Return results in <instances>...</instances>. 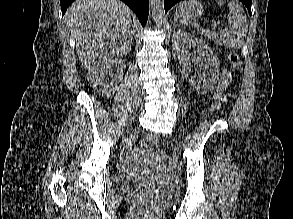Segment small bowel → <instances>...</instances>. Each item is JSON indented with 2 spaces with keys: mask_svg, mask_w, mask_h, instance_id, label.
Wrapping results in <instances>:
<instances>
[{
  "mask_svg": "<svg viewBox=\"0 0 293 219\" xmlns=\"http://www.w3.org/2000/svg\"><path fill=\"white\" fill-rule=\"evenodd\" d=\"M230 81V74L228 71L223 70L221 73V77L217 84L216 90L213 94V98L215 100H224V91L228 88Z\"/></svg>",
  "mask_w": 293,
  "mask_h": 219,
  "instance_id": "c3829d8e",
  "label": "small bowel"
}]
</instances>
